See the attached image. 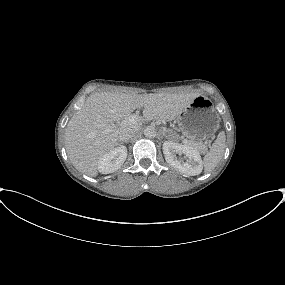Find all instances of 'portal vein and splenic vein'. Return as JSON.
Segmentation results:
<instances>
[{
    "label": "portal vein and splenic vein",
    "instance_id": "portal-vein-and-splenic-vein-1",
    "mask_svg": "<svg viewBox=\"0 0 285 285\" xmlns=\"http://www.w3.org/2000/svg\"><path fill=\"white\" fill-rule=\"evenodd\" d=\"M139 116L136 115V114H133V115H130L129 117L127 118H124L122 121H119L117 122V125L118 126H123V125H127V124H134L136 123L137 121H139ZM113 126H115V124H112ZM108 131V130H107ZM106 131V132H107ZM187 143H189L188 140H185Z\"/></svg>",
    "mask_w": 285,
    "mask_h": 285
}]
</instances>
